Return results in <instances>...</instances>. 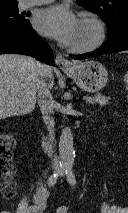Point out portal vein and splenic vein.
<instances>
[{
	"mask_svg": "<svg viewBox=\"0 0 128 213\" xmlns=\"http://www.w3.org/2000/svg\"><path fill=\"white\" fill-rule=\"evenodd\" d=\"M85 99H86L87 101H89V100H90V97H86Z\"/></svg>",
	"mask_w": 128,
	"mask_h": 213,
	"instance_id": "portal-vein-and-splenic-vein-1",
	"label": "portal vein and splenic vein"
}]
</instances>
